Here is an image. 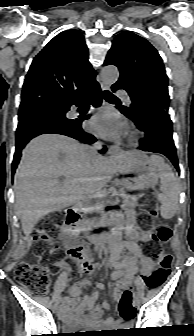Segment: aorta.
Returning a JSON list of instances; mask_svg holds the SVG:
<instances>
[{
    "mask_svg": "<svg viewBox=\"0 0 194 336\" xmlns=\"http://www.w3.org/2000/svg\"><path fill=\"white\" fill-rule=\"evenodd\" d=\"M119 72L117 67L110 65L105 66L101 70L102 81L106 84H113L118 80Z\"/></svg>",
    "mask_w": 194,
    "mask_h": 336,
    "instance_id": "aorta-1",
    "label": "aorta"
}]
</instances>
